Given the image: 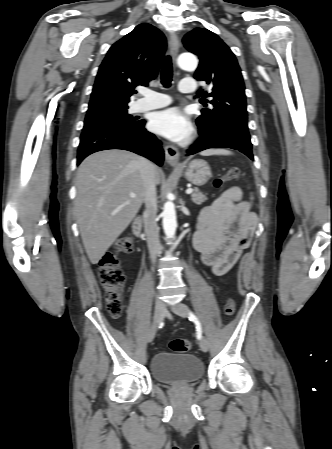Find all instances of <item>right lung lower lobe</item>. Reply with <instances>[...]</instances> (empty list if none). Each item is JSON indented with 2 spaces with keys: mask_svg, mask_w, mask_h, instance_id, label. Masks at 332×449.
Here are the masks:
<instances>
[{
  "mask_svg": "<svg viewBox=\"0 0 332 449\" xmlns=\"http://www.w3.org/2000/svg\"><path fill=\"white\" fill-rule=\"evenodd\" d=\"M143 120L129 129L98 128L82 132L78 147L77 165L88 155L102 150L123 149L142 155L159 166L164 160L161 142L148 132Z\"/></svg>",
  "mask_w": 332,
  "mask_h": 449,
  "instance_id": "98d812e1",
  "label": "right lung lower lobe"
}]
</instances>
